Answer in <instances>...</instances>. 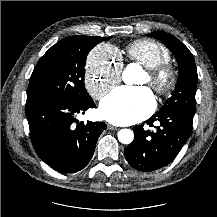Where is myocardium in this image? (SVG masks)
I'll return each mask as SVG.
<instances>
[{
  "label": "myocardium",
  "instance_id": "myocardium-1",
  "mask_svg": "<svg viewBox=\"0 0 217 217\" xmlns=\"http://www.w3.org/2000/svg\"><path fill=\"white\" fill-rule=\"evenodd\" d=\"M149 86L160 96L170 94L175 88L177 74L169 62L147 70Z\"/></svg>",
  "mask_w": 217,
  "mask_h": 217
}]
</instances>
